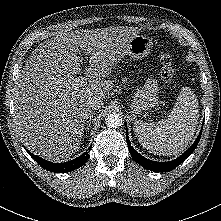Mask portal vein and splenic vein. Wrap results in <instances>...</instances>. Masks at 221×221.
Listing matches in <instances>:
<instances>
[{
  "mask_svg": "<svg viewBox=\"0 0 221 221\" xmlns=\"http://www.w3.org/2000/svg\"><path fill=\"white\" fill-rule=\"evenodd\" d=\"M77 82H80V83H85V81L87 80V78L85 76H81L80 78L76 79ZM71 82L67 81L65 83L66 86H68Z\"/></svg>",
  "mask_w": 221,
  "mask_h": 221,
  "instance_id": "portal-vein-and-splenic-vein-1",
  "label": "portal vein and splenic vein"
}]
</instances>
